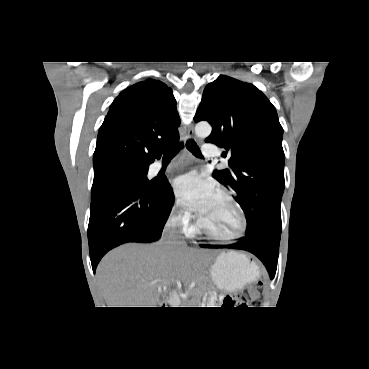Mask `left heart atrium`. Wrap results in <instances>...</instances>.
<instances>
[{
  "instance_id": "left-heart-atrium-1",
  "label": "left heart atrium",
  "mask_w": 369,
  "mask_h": 369,
  "mask_svg": "<svg viewBox=\"0 0 369 369\" xmlns=\"http://www.w3.org/2000/svg\"><path fill=\"white\" fill-rule=\"evenodd\" d=\"M173 188L180 201L200 216L218 195L214 183L196 172L178 176L174 180Z\"/></svg>"
}]
</instances>
